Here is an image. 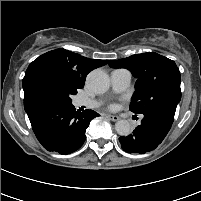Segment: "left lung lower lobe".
<instances>
[{"label": "left lung lower lobe", "mask_w": 201, "mask_h": 201, "mask_svg": "<svg viewBox=\"0 0 201 201\" xmlns=\"http://www.w3.org/2000/svg\"><path fill=\"white\" fill-rule=\"evenodd\" d=\"M143 115L141 124L132 134L119 138L125 152L144 154L157 148L169 132L175 112L168 109H155Z\"/></svg>", "instance_id": "obj_1"}]
</instances>
